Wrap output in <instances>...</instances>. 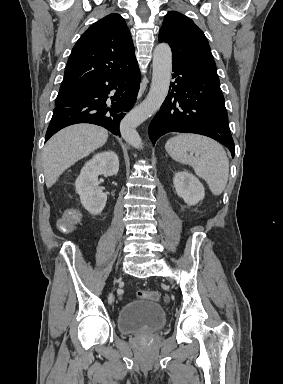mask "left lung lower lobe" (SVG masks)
<instances>
[{"label":"left lung lower lobe","instance_id":"left-lung-lower-lobe-1","mask_svg":"<svg viewBox=\"0 0 283 384\" xmlns=\"http://www.w3.org/2000/svg\"><path fill=\"white\" fill-rule=\"evenodd\" d=\"M172 64L175 81L149 126L153 145L169 132L196 133L219 141L234 157V142L218 75L180 62Z\"/></svg>","mask_w":283,"mask_h":384}]
</instances>
